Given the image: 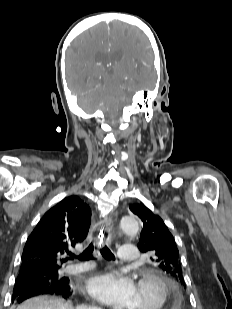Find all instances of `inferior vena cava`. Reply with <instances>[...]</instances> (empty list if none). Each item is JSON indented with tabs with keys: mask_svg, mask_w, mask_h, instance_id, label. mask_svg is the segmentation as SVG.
<instances>
[{
	"mask_svg": "<svg viewBox=\"0 0 232 309\" xmlns=\"http://www.w3.org/2000/svg\"><path fill=\"white\" fill-rule=\"evenodd\" d=\"M79 309H99V308H95V307H90V308L81 307Z\"/></svg>",
	"mask_w": 232,
	"mask_h": 309,
	"instance_id": "obj_1",
	"label": "inferior vena cava"
}]
</instances>
